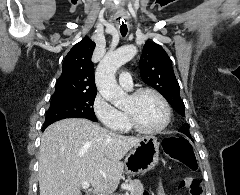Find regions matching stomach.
Returning a JSON list of instances; mask_svg holds the SVG:
<instances>
[{"instance_id": "obj_1", "label": "stomach", "mask_w": 240, "mask_h": 195, "mask_svg": "<svg viewBox=\"0 0 240 195\" xmlns=\"http://www.w3.org/2000/svg\"><path fill=\"white\" fill-rule=\"evenodd\" d=\"M159 161V141L155 135H145L133 149H130L125 157L126 173H146L154 169Z\"/></svg>"}]
</instances>
